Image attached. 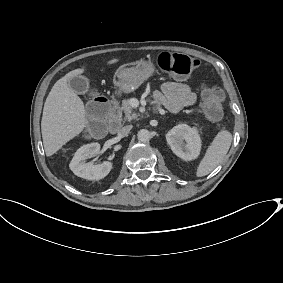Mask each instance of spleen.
I'll return each mask as SVG.
<instances>
[{"mask_svg": "<svg viewBox=\"0 0 283 283\" xmlns=\"http://www.w3.org/2000/svg\"><path fill=\"white\" fill-rule=\"evenodd\" d=\"M233 140L232 133L223 127L207 147L196 170L197 177L210 174L225 158Z\"/></svg>", "mask_w": 283, "mask_h": 283, "instance_id": "spleen-1", "label": "spleen"}]
</instances>
